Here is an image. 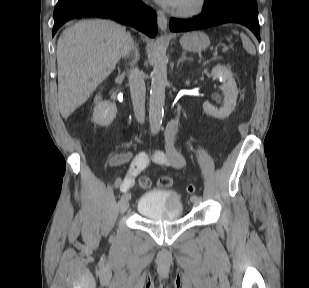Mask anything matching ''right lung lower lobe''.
Instances as JSON below:
<instances>
[{"mask_svg":"<svg viewBox=\"0 0 309 288\" xmlns=\"http://www.w3.org/2000/svg\"><path fill=\"white\" fill-rule=\"evenodd\" d=\"M81 16L110 18L132 26L150 37L157 33V17L141 0H74L55 9L52 35L68 20Z\"/></svg>","mask_w":309,"mask_h":288,"instance_id":"1","label":"right lung lower lobe"}]
</instances>
